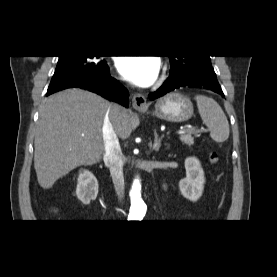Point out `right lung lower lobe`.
Segmentation results:
<instances>
[{"label":"right lung lower lobe","instance_id":"right-lung-lower-lobe-1","mask_svg":"<svg viewBox=\"0 0 277 277\" xmlns=\"http://www.w3.org/2000/svg\"><path fill=\"white\" fill-rule=\"evenodd\" d=\"M72 87H80L89 90L109 100L118 102L125 107H128V90L125 87H123L118 81L111 78L109 68L106 71V73L103 76H101L98 80L78 81L65 87H61L54 90H48L47 94L50 95L57 91Z\"/></svg>","mask_w":277,"mask_h":277}]
</instances>
